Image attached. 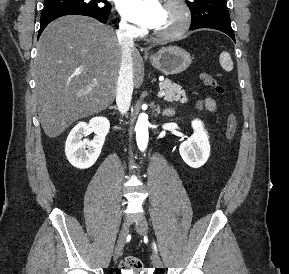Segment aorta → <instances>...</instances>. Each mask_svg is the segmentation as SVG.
<instances>
[{
	"mask_svg": "<svg viewBox=\"0 0 289 274\" xmlns=\"http://www.w3.org/2000/svg\"><path fill=\"white\" fill-rule=\"evenodd\" d=\"M148 117L146 114H140L135 126L137 145L141 151L146 150L148 145Z\"/></svg>",
	"mask_w": 289,
	"mask_h": 274,
	"instance_id": "obj_1",
	"label": "aorta"
}]
</instances>
